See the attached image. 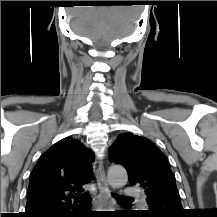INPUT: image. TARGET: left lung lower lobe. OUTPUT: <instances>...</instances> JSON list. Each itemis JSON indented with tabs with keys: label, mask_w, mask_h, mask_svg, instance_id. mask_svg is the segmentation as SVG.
Listing matches in <instances>:
<instances>
[{
	"label": "left lung lower lobe",
	"mask_w": 217,
	"mask_h": 217,
	"mask_svg": "<svg viewBox=\"0 0 217 217\" xmlns=\"http://www.w3.org/2000/svg\"><path fill=\"white\" fill-rule=\"evenodd\" d=\"M150 217H159V216H154V215H149Z\"/></svg>",
	"instance_id": "0a47b994"
}]
</instances>
